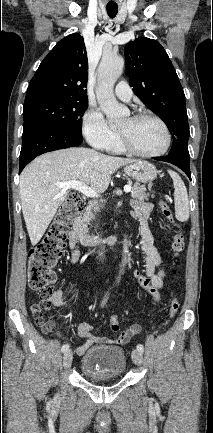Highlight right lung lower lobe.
I'll return each mask as SVG.
<instances>
[{
	"mask_svg": "<svg viewBox=\"0 0 213 433\" xmlns=\"http://www.w3.org/2000/svg\"><path fill=\"white\" fill-rule=\"evenodd\" d=\"M83 138L39 118L24 120L19 173L35 157L81 144Z\"/></svg>",
	"mask_w": 213,
	"mask_h": 433,
	"instance_id": "right-lung-lower-lobe-1",
	"label": "right lung lower lobe"
}]
</instances>
